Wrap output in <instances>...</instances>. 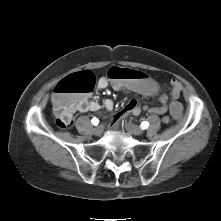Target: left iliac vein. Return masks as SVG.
Returning <instances> with one entry per match:
<instances>
[{
    "label": "left iliac vein",
    "mask_w": 221,
    "mask_h": 221,
    "mask_svg": "<svg viewBox=\"0 0 221 221\" xmlns=\"http://www.w3.org/2000/svg\"><path fill=\"white\" fill-rule=\"evenodd\" d=\"M124 127L128 132L132 133L133 135H142L144 132L142 128L131 122H126L124 124Z\"/></svg>",
    "instance_id": "4c4485c4"
}]
</instances>
